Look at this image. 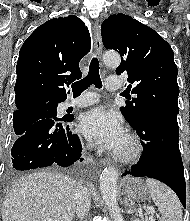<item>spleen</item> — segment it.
I'll list each match as a JSON object with an SVG mask.
<instances>
[{"label": "spleen", "mask_w": 190, "mask_h": 221, "mask_svg": "<svg viewBox=\"0 0 190 221\" xmlns=\"http://www.w3.org/2000/svg\"><path fill=\"white\" fill-rule=\"evenodd\" d=\"M150 196L162 216V221H182V208L177 195L169 187L154 179H146Z\"/></svg>", "instance_id": "1"}]
</instances>
